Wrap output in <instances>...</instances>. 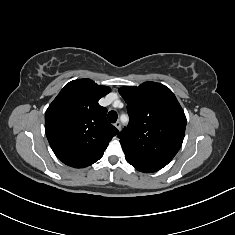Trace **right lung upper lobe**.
<instances>
[{"label":"right lung upper lobe","instance_id":"right-lung-upper-lobe-1","mask_svg":"<svg viewBox=\"0 0 235 235\" xmlns=\"http://www.w3.org/2000/svg\"><path fill=\"white\" fill-rule=\"evenodd\" d=\"M110 92L90 79L69 82L45 113V131L55 155L66 165L84 168L101 159L118 130L98 101Z\"/></svg>","mask_w":235,"mask_h":235}]
</instances>
